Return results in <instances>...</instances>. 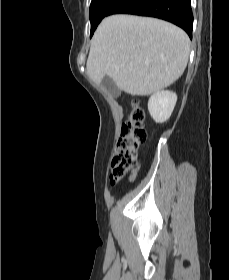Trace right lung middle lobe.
<instances>
[{"label":"right lung middle lobe","instance_id":"1","mask_svg":"<svg viewBox=\"0 0 229 280\" xmlns=\"http://www.w3.org/2000/svg\"><path fill=\"white\" fill-rule=\"evenodd\" d=\"M115 0H92L90 5L91 33L93 35L100 21L107 15Z\"/></svg>","mask_w":229,"mask_h":280}]
</instances>
